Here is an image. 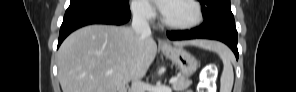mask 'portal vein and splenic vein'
Returning a JSON list of instances; mask_svg holds the SVG:
<instances>
[{
    "mask_svg": "<svg viewBox=\"0 0 296 92\" xmlns=\"http://www.w3.org/2000/svg\"><path fill=\"white\" fill-rule=\"evenodd\" d=\"M113 73V70H110V71H108L107 72V74L109 75V74H112ZM177 77H172L171 79H170V81H169V83L170 84H173V83H175L176 81H177Z\"/></svg>",
    "mask_w": 296,
    "mask_h": 92,
    "instance_id": "1",
    "label": "portal vein and splenic vein"
}]
</instances>
